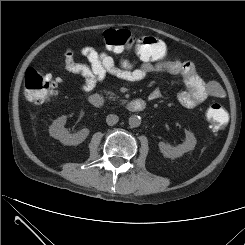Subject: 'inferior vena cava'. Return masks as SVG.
Masks as SVG:
<instances>
[{"label": "inferior vena cava", "mask_w": 245, "mask_h": 245, "mask_svg": "<svg viewBox=\"0 0 245 245\" xmlns=\"http://www.w3.org/2000/svg\"><path fill=\"white\" fill-rule=\"evenodd\" d=\"M119 120V117L115 114H109L107 117H106V123L109 125V126H113L115 125Z\"/></svg>", "instance_id": "602c4592"}]
</instances>
